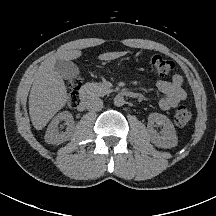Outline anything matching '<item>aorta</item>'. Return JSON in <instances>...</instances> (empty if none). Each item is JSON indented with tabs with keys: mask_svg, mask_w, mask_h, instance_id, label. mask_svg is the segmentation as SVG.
I'll return each mask as SVG.
<instances>
[{
	"mask_svg": "<svg viewBox=\"0 0 216 216\" xmlns=\"http://www.w3.org/2000/svg\"><path fill=\"white\" fill-rule=\"evenodd\" d=\"M125 104V100H124V97L123 96H120V95H117L115 98H114V105L117 106V107H121Z\"/></svg>",
	"mask_w": 216,
	"mask_h": 216,
	"instance_id": "762f6f07",
	"label": "aorta"
}]
</instances>
